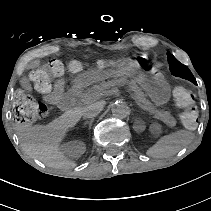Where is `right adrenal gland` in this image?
<instances>
[{"mask_svg": "<svg viewBox=\"0 0 211 211\" xmlns=\"http://www.w3.org/2000/svg\"><path fill=\"white\" fill-rule=\"evenodd\" d=\"M93 121L94 118H91L89 121H86L85 124H89V127H91Z\"/></svg>", "mask_w": 211, "mask_h": 211, "instance_id": "1", "label": "right adrenal gland"}]
</instances>
